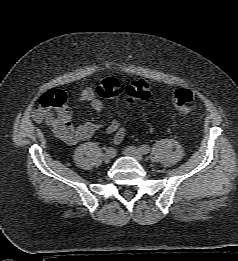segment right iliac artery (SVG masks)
<instances>
[{
  "label": "right iliac artery",
  "instance_id": "obj_1",
  "mask_svg": "<svg viewBox=\"0 0 238 261\" xmlns=\"http://www.w3.org/2000/svg\"><path fill=\"white\" fill-rule=\"evenodd\" d=\"M106 152H107L108 154H114V153L116 152V149H115V148H107V149H106Z\"/></svg>",
  "mask_w": 238,
  "mask_h": 261
}]
</instances>
